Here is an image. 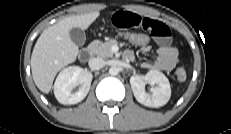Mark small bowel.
Listing matches in <instances>:
<instances>
[{"label":"small bowel","instance_id":"small-bowel-1","mask_svg":"<svg viewBox=\"0 0 231 134\" xmlns=\"http://www.w3.org/2000/svg\"><path fill=\"white\" fill-rule=\"evenodd\" d=\"M111 24L118 30H142L157 43V58L153 63L142 62L141 67L149 70H172L178 62V51L170 45V30L166 24L151 17H144L131 11H117L111 16ZM150 48L143 47V52ZM125 57L134 60L132 51H126Z\"/></svg>","mask_w":231,"mask_h":134}]
</instances>
